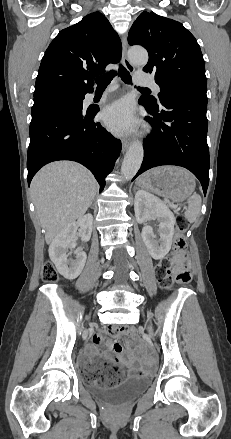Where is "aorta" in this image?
Here are the masks:
<instances>
[{
	"instance_id": "obj_1",
	"label": "aorta",
	"mask_w": 231,
	"mask_h": 439,
	"mask_svg": "<svg viewBox=\"0 0 231 439\" xmlns=\"http://www.w3.org/2000/svg\"><path fill=\"white\" fill-rule=\"evenodd\" d=\"M129 59L137 65L145 66L148 62V53L144 48L132 47L128 51ZM144 151L140 141H134L125 157L121 166V174L127 180L132 179L141 167Z\"/></svg>"
}]
</instances>
